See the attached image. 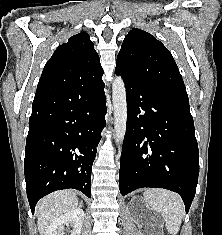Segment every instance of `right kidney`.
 Masks as SVG:
<instances>
[{"mask_svg": "<svg viewBox=\"0 0 222 235\" xmlns=\"http://www.w3.org/2000/svg\"><path fill=\"white\" fill-rule=\"evenodd\" d=\"M84 211L80 208L72 210L71 212L64 214L55 219L47 228L45 235H64V226H71L73 229L71 235H80L83 220Z\"/></svg>", "mask_w": 222, "mask_h": 235, "instance_id": "ca27d5eb", "label": "right kidney"}]
</instances>
